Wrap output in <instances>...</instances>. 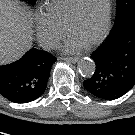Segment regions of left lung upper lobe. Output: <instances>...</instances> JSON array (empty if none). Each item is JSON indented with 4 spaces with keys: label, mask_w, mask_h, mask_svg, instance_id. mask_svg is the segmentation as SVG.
<instances>
[{
    "label": "left lung upper lobe",
    "mask_w": 135,
    "mask_h": 135,
    "mask_svg": "<svg viewBox=\"0 0 135 135\" xmlns=\"http://www.w3.org/2000/svg\"><path fill=\"white\" fill-rule=\"evenodd\" d=\"M135 19V0H117V13L113 31L125 29Z\"/></svg>",
    "instance_id": "1"
}]
</instances>
